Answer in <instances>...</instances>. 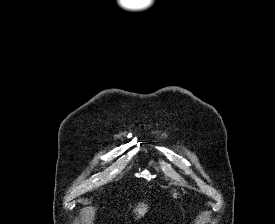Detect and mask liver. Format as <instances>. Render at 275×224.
I'll use <instances>...</instances> for the list:
<instances>
[{"label": "liver", "instance_id": "obj_1", "mask_svg": "<svg viewBox=\"0 0 275 224\" xmlns=\"http://www.w3.org/2000/svg\"><path fill=\"white\" fill-rule=\"evenodd\" d=\"M147 210V205L139 204L136 209H134V212L138 215V218H141L144 216Z\"/></svg>", "mask_w": 275, "mask_h": 224}]
</instances>
